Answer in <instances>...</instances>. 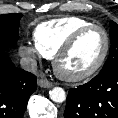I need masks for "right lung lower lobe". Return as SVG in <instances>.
I'll list each match as a JSON object with an SVG mask.
<instances>
[{
    "instance_id": "right-lung-lower-lobe-1",
    "label": "right lung lower lobe",
    "mask_w": 118,
    "mask_h": 118,
    "mask_svg": "<svg viewBox=\"0 0 118 118\" xmlns=\"http://www.w3.org/2000/svg\"><path fill=\"white\" fill-rule=\"evenodd\" d=\"M36 89L35 75L15 67L7 55L0 54V118H23Z\"/></svg>"
}]
</instances>
